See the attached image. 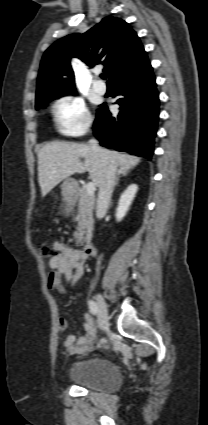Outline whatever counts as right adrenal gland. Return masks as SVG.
Returning <instances> with one entry per match:
<instances>
[{"label": "right adrenal gland", "instance_id": "2a0ac1e0", "mask_svg": "<svg viewBox=\"0 0 208 425\" xmlns=\"http://www.w3.org/2000/svg\"><path fill=\"white\" fill-rule=\"evenodd\" d=\"M129 173V169H126L124 167H120L119 170L117 171V176H116V180H115V186H118L119 184V180H120V176H124L126 177Z\"/></svg>", "mask_w": 208, "mask_h": 425}]
</instances>
